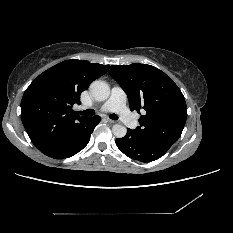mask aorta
<instances>
[{"label": "aorta", "mask_w": 233, "mask_h": 233, "mask_svg": "<svg viewBox=\"0 0 233 233\" xmlns=\"http://www.w3.org/2000/svg\"><path fill=\"white\" fill-rule=\"evenodd\" d=\"M90 92L95 100L105 101L110 95V87L106 82L96 80L90 85ZM112 132L117 138H122L126 135L127 129L123 125L115 124Z\"/></svg>", "instance_id": "762f6f07"}]
</instances>
